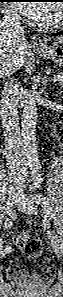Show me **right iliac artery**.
I'll list each match as a JSON object with an SVG mask.
<instances>
[{
    "mask_svg": "<svg viewBox=\"0 0 63 297\" xmlns=\"http://www.w3.org/2000/svg\"><path fill=\"white\" fill-rule=\"evenodd\" d=\"M8 204L9 203L7 202V205ZM8 212H9V216H12V212L11 211H8ZM4 225H5L6 228H10L12 226V221L9 218H7L5 220V222H4ZM6 250L10 253L11 252V247L10 246H6Z\"/></svg>",
    "mask_w": 63,
    "mask_h": 297,
    "instance_id": "obj_1",
    "label": "right iliac artery"
}]
</instances>
